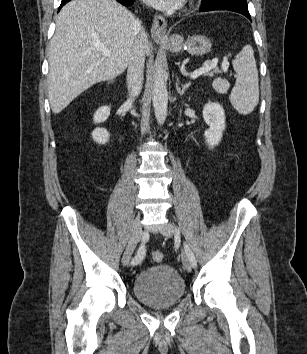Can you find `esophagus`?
Here are the masks:
<instances>
[{
	"label": "esophagus",
	"instance_id": "1",
	"mask_svg": "<svg viewBox=\"0 0 307 354\" xmlns=\"http://www.w3.org/2000/svg\"><path fill=\"white\" fill-rule=\"evenodd\" d=\"M167 21L160 15H155L151 26V34L155 40H163L166 36Z\"/></svg>",
	"mask_w": 307,
	"mask_h": 354
}]
</instances>
